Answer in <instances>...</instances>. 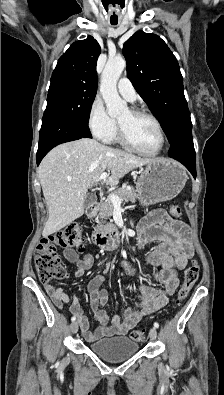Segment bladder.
Wrapping results in <instances>:
<instances>
[{"instance_id": "obj_1", "label": "bladder", "mask_w": 224, "mask_h": 395, "mask_svg": "<svg viewBox=\"0 0 224 395\" xmlns=\"http://www.w3.org/2000/svg\"><path fill=\"white\" fill-rule=\"evenodd\" d=\"M95 355L108 362H121L139 351V345L127 337L104 338L88 345Z\"/></svg>"}]
</instances>
